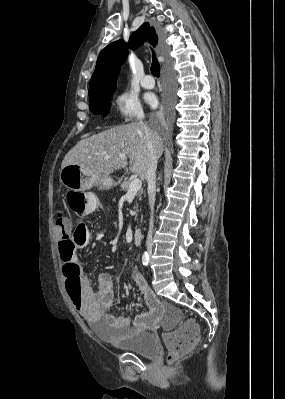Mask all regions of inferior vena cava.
Here are the masks:
<instances>
[{
  "mask_svg": "<svg viewBox=\"0 0 285 399\" xmlns=\"http://www.w3.org/2000/svg\"><path fill=\"white\" fill-rule=\"evenodd\" d=\"M144 116H139V123L144 125L142 120ZM158 141L148 135L147 140V170H146V180L148 184V198H149V206L151 209V217L149 224V231L147 235L146 246L149 252L152 251L153 242H152V234L154 227V205H155V194H156V169H157V160L158 153L156 149Z\"/></svg>",
  "mask_w": 285,
  "mask_h": 399,
  "instance_id": "602c4592",
  "label": "inferior vena cava"
}]
</instances>
